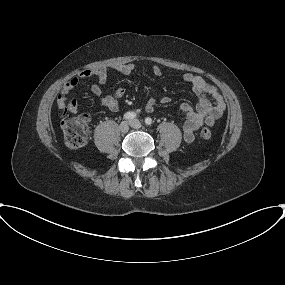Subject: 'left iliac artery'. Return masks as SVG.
I'll use <instances>...</instances> for the list:
<instances>
[{
    "instance_id": "1",
    "label": "left iliac artery",
    "mask_w": 285,
    "mask_h": 285,
    "mask_svg": "<svg viewBox=\"0 0 285 285\" xmlns=\"http://www.w3.org/2000/svg\"><path fill=\"white\" fill-rule=\"evenodd\" d=\"M145 124L146 125H151L152 124V119L150 117L145 118Z\"/></svg>"
}]
</instances>
